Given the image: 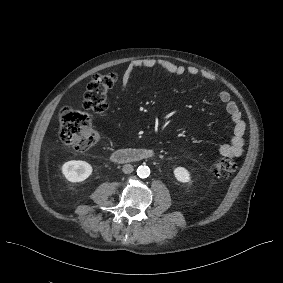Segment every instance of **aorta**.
<instances>
[{"label":"aorta","mask_w":283,"mask_h":283,"mask_svg":"<svg viewBox=\"0 0 283 283\" xmlns=\"http://www.w3.org/2000/svg\"><path fill=\"white\" fill-rule=\"evenodd\" d=\"M137 175L140 178H147L150 175V169L148 166H139L137 168Z\"/></svg>","instance_id":"1"}]
</instances>
